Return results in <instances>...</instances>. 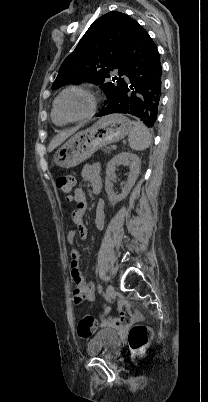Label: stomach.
Listing matches in <instances>:
<instances>
[{
    "label": "stomach",
    "instance_id": "1",
    "mask_svg": "<svg viewBox=\"0 0 208 402\" xmlns=\"http://www.w3.org/2000/svg\"><path fill=\"white\" fill-rule=\"evenodd\" d=\"M131 130V122L123 114L103 116L94 126L78 132L61 146L53 156L54 164L59 168H75L91 158L100 148H106L125 138Z\"/></svg>",
    "mask_w": 208,
    "mask_h": 402
}]
</instances>
